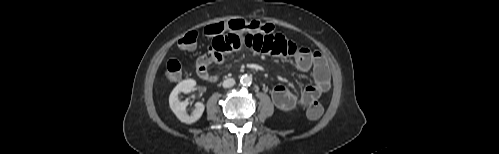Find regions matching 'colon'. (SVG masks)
<instances>
[{"label": "colon", "instance_id": "obj_1", "mask_svg": "<svg viewBox=\"0 0 499 154\" xmlns=\"http://www.w3.org/2000/svg\"><path fill=\"white\" fill-rule=\"evenodd\" d=\"M226 31L243 32L253 31L264 34L274 33V26L268 22L258 20L232 19L227 22H218L205 27L204 33L210 37H215ZM198 34L195 31L186 33L180 40L179 46L184 50L193 49L196 45ZM182 75V65L177 59H171L166 64L165 76L168 81H176ZM323 114V106L317 102H312L307 108V116L316 120Z\"/></svg>", "mask_w": 499, "mask_h": 154}]
</instances>
